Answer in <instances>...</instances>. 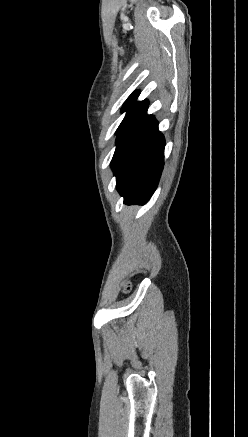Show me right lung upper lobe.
Masks as SVG:
<instances>
[{"label": "right lung upper lobe", "instance_id": "right-lung-upper-lobe-1", "mask_svg": "<svg viewBox=\"0 0 248 437\" xmlns=\"http://www.w3.org/2000/svg\"><path fill=\"white\" fill-rule=\"evenodd\" d=\"M139 93H140V91H135L134 93H132V95H139Z\"/></svg>", "mask_w": 248, "mask_h": 437}]
</instances>
